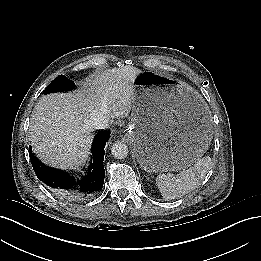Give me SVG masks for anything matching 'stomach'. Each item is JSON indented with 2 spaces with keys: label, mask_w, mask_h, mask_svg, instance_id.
Listing matches in <instances>:
<instances>
[{
  "label": "stomach",
  "mask_w": 261,
  "mask_h": 261,
  "mask_svg": "<svg viewBox=\"0 0 261 261\" xmlns=\"http://www.w3.org/2000/svg\"><path fill=\"white\" fill-rule=\"evenodd\" d=\"M126 135L147 172L185 169L210 145L211 133L192 109L196 95L173 78L141 72L134 82Z\"/></svg>",
  "instance_id": "obj_1"
}]
</instances>
